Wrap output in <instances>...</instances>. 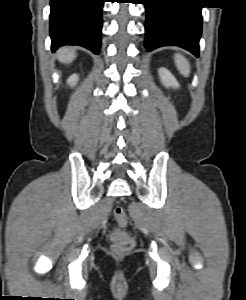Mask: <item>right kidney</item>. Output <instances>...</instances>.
Listing matches in <instances>:
<instances>
[{
    "label": "right kidney",
    "instance_id": "right-kidney-1",
    "mask_svg": "<svg viewBox=\"0 0 246 300\" xmlns=\"http://www.w3.org/2000/svg\"><path fill=\"white\" fill-rule=\"evenodd\" d=\"M77 81H78V75L73 74V75H71V76L68 78L67 83H68L71 87H73V86L76 85Z\"/></svg>",
    "mask_w": 246,
    "mask_h": 300
}]
</instances>
